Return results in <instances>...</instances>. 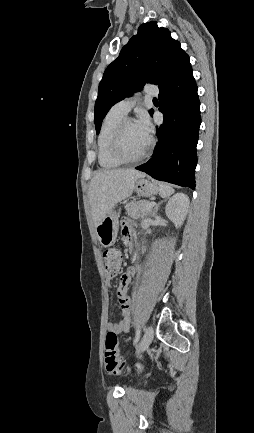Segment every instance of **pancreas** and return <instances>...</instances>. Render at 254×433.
Returning a JSON list of instances; mask_svg holds the SVG:
<instances>
[{
    "label": "pancreas",
    "mask_w": 254,
    "mask_h": 433,
    "mask_svg": "<svg viewBox=\"0 0 254 433\" xmlns=\"http://www.w3.org/2000/svg\"><path fill=\"white\" fill-rule=\"evenodd\" d=\"M150 202L147 200H140L132 202L126 207V214L131 218H144L147 216H153V208H148L147 205Z\"/></svg>",
    "instance_id": "1"
}]
</instances>
